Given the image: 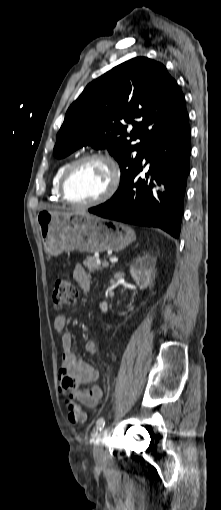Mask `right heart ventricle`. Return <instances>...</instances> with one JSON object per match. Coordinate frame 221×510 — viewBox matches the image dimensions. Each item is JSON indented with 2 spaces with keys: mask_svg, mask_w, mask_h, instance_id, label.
I'll list each match as a JSON object with an SVG mask.
<instances>
[{
  "mask_svg": "<svg viewBox=\"0 0 221 510\" xmlns=\"http://www.w3.org/2000/svg\"><path fill=\"white\" fill-rule=\"evenodd\" d=\"M70 163L71 161L68 160L60 164L53 175L51 183V195L52 199L56 202H62V198L60 197L59 194V183L64 170Z\"/></svg>",
  "mask_w": 221,
  "mask_h": 510,
  "instance_id": "obj_1",
  "label": "right heart ventricle"
}]
</instances>
